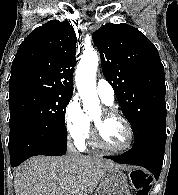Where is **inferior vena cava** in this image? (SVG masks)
Listing matches in <instances>:
<instances>
[{"instance_id": "602c4592", "label": "inferior vena cava", "mask_w": 178, "mask_h": 195, "mask_svg": "<svg viewBox=\"0 0 178 195\" xmlns=\"http://www.w3.org/2000/svg\"><path fill=\"white\" fill-rule=\"evenodd\" d=\"M68 152L70 155H72L73 157L79 156L81 154H79V152L75 149V147L73 146L72 143H68Z\"/></svg>"}]
</instances>
